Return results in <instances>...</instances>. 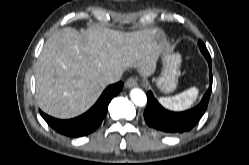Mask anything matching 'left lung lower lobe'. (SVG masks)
Listing matches in <instances>:
<instances>
[{
	"label": "left lung lower lobe",
	"instance_id": "obj_1",
	"mask_svg": "<svg viewBox=\"0 0 249 165\" xmlns=\"http://www.w3.org/2000/svg\"><path fill=\"white\" fill-rule=\"evenodd\" d=\"M209 64L210 86L201 102L194 108L184 112H172L163 108L151 91L147 92V106L144 119L147 125L165 134H180L191 130L206 111L212 91L211 61Z\"/></svg>",
	"mask_w": 249,
	"mask_h": 165
}]
</instances>
